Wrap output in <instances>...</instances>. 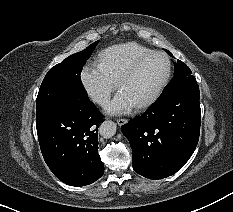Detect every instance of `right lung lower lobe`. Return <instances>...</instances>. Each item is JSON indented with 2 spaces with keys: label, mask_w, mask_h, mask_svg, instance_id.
I'll return each mask as SVG.
<instances>
[{
  "label": "right lung lower lobe",
  "mask_w": 233,
  "mask_h": 212,
  "mask_svg": "<svg viewBox=\"0 0 233 212\" xmlns=\"http://www.w3.org/2000/svg\"><path fill=\"white\" fill-rule=\"evenodd\" d=\"M104 120L85 99L72 100L36 122L44 160L62 182L84 186L104 174L98 154V126Z\"/></svg>",
  "instance_id": "98d812e1"
}]
</instances>
